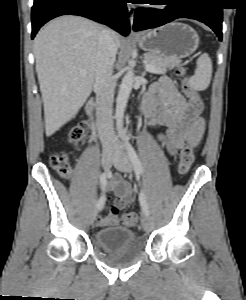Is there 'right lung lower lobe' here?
I'll return each instance as SVG.
<instances>
[{
	"label": "right lung lower lobe",
	"mask_w": 246,
	"mask_h": 300,
	"mask_svg": "<svg viewBox=\"0 0 246 300\" xmlns=\"http://www.w3.org/2000/svg\"><path fill=\"white\" fill-rule=\"evenodd\" d=\"M65 14L106 24L124 36L130 31L126 0H34L31 38L46 22Z\"/></svg>",
	"instance_id": "obj_1"
}]
</instances>
